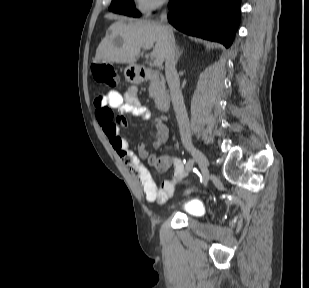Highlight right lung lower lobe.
I'll return each instance as SVG.
<instances>
[{
	"label": "right lung lower lobe",
	"mask_w": 309,
	"mask_h": 288,
	"mask_svg": "<svg viewBox=\"0 0 309 288\" xmlns=\"http://www.w3.org/2000/svg\"><path fill=\"white\" fill-rule=\"evenodd\" d=\"M239 0H170L168 21L178 30L229 47L239 22Z\"/></svg>",
	"instance_id": "98d812e1"
}]
</instances>
